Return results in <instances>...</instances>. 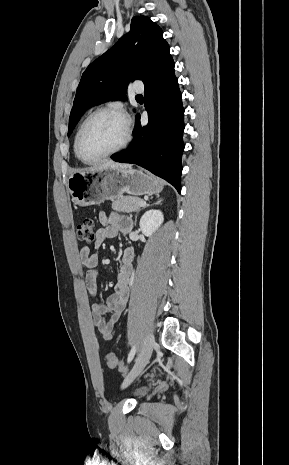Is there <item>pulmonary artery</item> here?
<instances>
[{"label": "pulmonary artery", "mask_w": 289, "mask_h": 465, "mask_svg": "<svg viewBox=\"0 0 289 465\" xmlns=\"http://www.w3.org/2000/svg\"><path fill=\"white\" fill-rule=\"evenodd\" d=\"M133 90H134L135 92H143V91H144V86H143V84L140 83V82H135V83L133 84Z\"/></svg>", "instance_id": "obj_1"}]
</instances>
